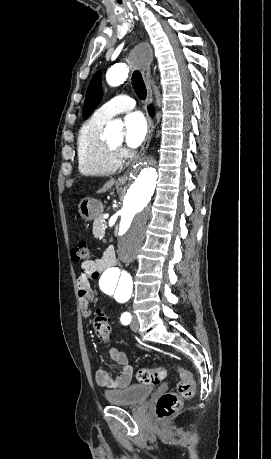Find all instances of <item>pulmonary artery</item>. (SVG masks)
<instances>
[{
  "mask_svg": "<svg viewBox=\"0 0 271 459\" xmlns=\"http://www.w3.org/2000/svg\"><path fill=\"white\" fill-rule=\"evenodd\" d=\"M135 104V98H129L127 95H116L97 109L93 116L100 121H107L118 113L132 110Z\"/></svg>",
  "mask_w": 271,
  "mask_h": 459,
  "instance_id": "1",
  "label": "pulmonary artery"
}]
</instances>
